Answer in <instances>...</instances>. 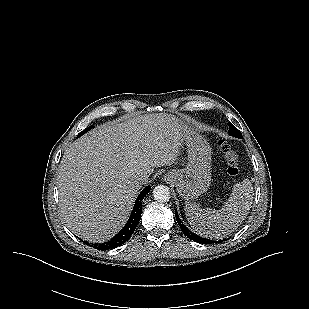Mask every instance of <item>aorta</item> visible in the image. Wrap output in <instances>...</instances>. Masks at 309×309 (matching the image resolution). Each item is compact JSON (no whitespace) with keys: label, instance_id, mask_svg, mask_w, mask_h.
Listing matches in <instances>:
<instances>
[{"label":"aorta","instance_id":"aorta-1","mask_svg":"<svg viewBox=\"0 0 309 309\" xmlns=\"http://www.w3.org/2000/svg\"><path fill=\"white\" fill-rule=\"evenodd\" d=\"M153 196L157 201L166 202L170 199V190L165 185H158L153 190Z\"/></svg>","mask_w":309,"mask_h":309}]
</instances>
